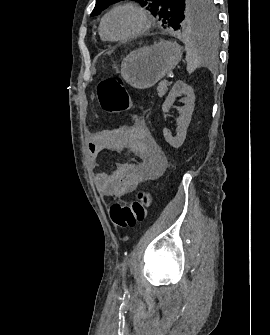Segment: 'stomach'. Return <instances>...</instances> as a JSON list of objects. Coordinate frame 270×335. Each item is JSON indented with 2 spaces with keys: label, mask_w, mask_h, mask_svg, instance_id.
<instances>
[{
  "label": "stomach",
  "mask_w": 270,
  "mask_h": 335,
  "mask_svg": "<svg viewBox=\"0 0 270 335\" xmlns=\"http://www.w3.org/2000/svg\"><path fill=\"white\" fill-rule=\"evenodd\" d=\"M181 56V48L177 42L160 40L153 46L137 48L123 58L120 66L121 76L132 88L146 90L173 70L180 62Z\"/></svg>",
  "instance_id": "1"
}]
</instances>
